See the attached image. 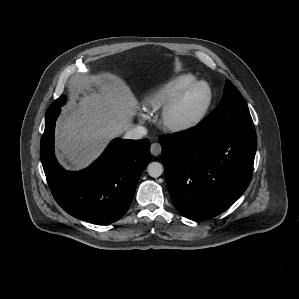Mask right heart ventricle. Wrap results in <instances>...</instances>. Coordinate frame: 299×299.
<instances>
[{"instance_id": "e07e8e85", "label": "right heart ventricle", "mask_w": 299, "mask_h": 299, "mask_svg": "<svg viewBox=\"0 0 299 299\" xmlns=\"http://www.w3.org/2000/svg\"><path fill=\"white\" fill-rule=\"evenodd\" d=\"M197 77L191 73L177 75L153 89L144 98V107L148 112H158L184 87L195 82Z\"/></svg>"}]
</instances>
